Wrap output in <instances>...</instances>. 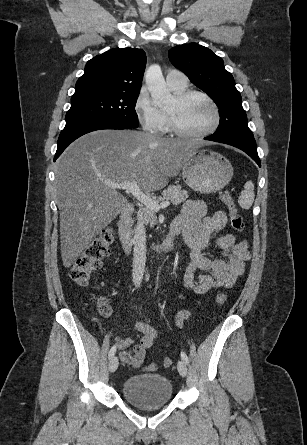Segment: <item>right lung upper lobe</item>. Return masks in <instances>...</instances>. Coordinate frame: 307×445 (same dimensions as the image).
Listing matches in <instances>:
<instances>
[{"label": "right lung upper lobe", "instance_id": "obj_1", "mask_svg": "<svg viewBox=\"0 0 307 445\" xmlns=\"http://www.w3.org/2000/svg\"><path fill=\"white\" fill-rule=\"evenodd\" d=\"M146 65L142 49H111L89 60L75 86L77 95L139 94Z\"/></svg>", "mask_w": 307, "mask_h": 445}]
</instances>
